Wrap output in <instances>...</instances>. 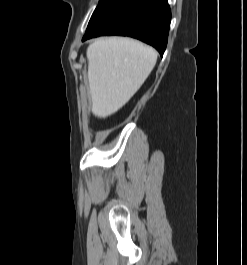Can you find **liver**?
I'll list each match as a JSON object with an SVG mask.
<instances>
[{
  "instance_id": "obj_1",
  "label": "liver",
  "mask_w": 247,
  "mask_h": 265,
  "mask_svg": "<svg viewBox=\"0 0 247 265\" xmlns=\"http://www.w3.org/2000/svg\"><path fill=\"white\" fill-rule=\"evenodd\" d=\"M92 113L106 118L122 108L157 61L154 48L125 37L99 38L87 48Z\"/></svg>"
}]
</instances>
